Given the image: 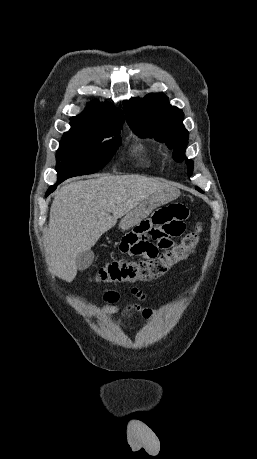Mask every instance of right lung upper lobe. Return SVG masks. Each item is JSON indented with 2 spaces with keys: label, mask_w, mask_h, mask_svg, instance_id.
Here are the masks:
<instances>
[{
  "label": "right lung upper lobe",
  "mask_w": 257,
  "mask_h": 459,
  "mask_svg": "<svg viewBox=\"0 0 257 459\" xmlns=\"http://www.w3.org/2000/svg\"><path fill=\"white\" fill-rule=\"evenodd\" d=\"M71 120L72 125L107 131L122 129L124 115L121 110L114 109L111 104L93 101L83 113L73 117Z\"/></svg>",
  "instance_id": "obj_1"
}]
</instances>
